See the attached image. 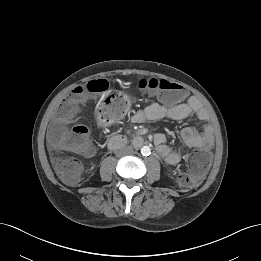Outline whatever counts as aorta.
<instances>
[{
    "instance_id": "1",
    "label": "aorta",
    "mask_w": 261,
    "mask_h": 261,
    "mask_svg": "<svg viewBox=\"0 0 261 261\" xmlns=\"http://www.w3.org/2000/svg\"><path fill=\"white\" fill-rule=\"evenodd\" d=\"M141 153H142V155H144V156L150 155V153H151L150 147H149V146H143V147L141 148Z\"/></svg>"
}]
</instances>
